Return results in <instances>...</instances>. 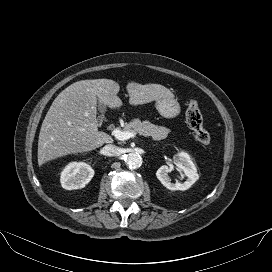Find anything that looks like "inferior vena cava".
<instances>
[{
	"instance_id": "obj_1",
	"label": "inferior vena cava",
	"mask_w": 272,
	"mask_h": 272,
	"mask_svg": "<svg viewBox=\"0 0 272 272\" xmlns=\"http://www.w3.org/2000/svg\"><path fill=\"white\" fill-rule=\"evenodd\" d=\"M104 153L107 156H118L121 154V149L115 145L108 144L104 147Z\"/></svg>"
}]
</instances>
